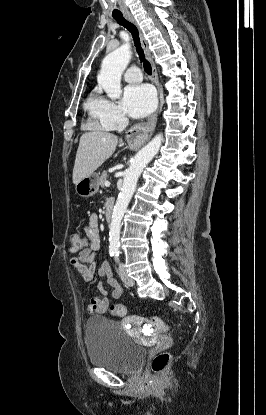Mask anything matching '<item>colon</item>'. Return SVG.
Returning <instances> with one entry per match:
<instances>
[{"label": "colon", "instance_id": "colon-1", "mask_svg": "<svg viewBox=\"0 0 266 415\" xmlns=\"http://www.w3.org/2000/svg\"><path fill=\"white\" fill-rule=\"evenodd\" d=\"M87 246L86 238L79 232H74L69 236V249L71 253H80ZM110 311L116 317H122L126 314V307L122 304L116 303L111 305ZM150 326L159 332L168 330V325L159 317H151L149 320ZM171 355L168 352H160L155 355L151 361V369L154 373L162 372L168 365Z\"/></svg>", "mask_w": 266, "mask_h": 415}]
</instances>
